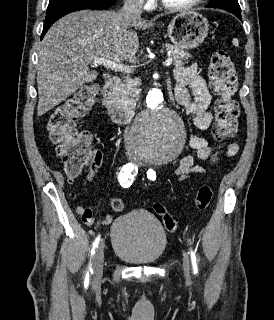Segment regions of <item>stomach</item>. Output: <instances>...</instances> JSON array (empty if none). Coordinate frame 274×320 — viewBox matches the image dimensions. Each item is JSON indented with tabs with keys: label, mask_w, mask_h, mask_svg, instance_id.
<instances>
[{
	"label": "stomach",
	"mask_w": 274,
	"mask_h": 320,
	"mask_svg": "<svg viewBox=\"0 0 274 320\" xmlns=\"http://www.w3.org/2000/svg\"><path fill=\"white\" fill-rule=\"evenodd\" d=\"M209 24L198 12L176 14L168 26V36L176 48L194 50L205 40Z\"/></svg>",
	"instance_id": "1"
}]
</instances>
